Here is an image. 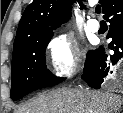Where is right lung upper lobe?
Returning <instances> with one entry per match:
<instances>
[{
  "mask_svg": "<svg viewBox=\"0 0 123 113\" xmlns=\"http://www.w3.org/2000/svg\"><path fill=\"white\" fill-rule=\"evenodd\" d=\"M84 9L82 1L72 0ZM113 0H99L105 14ZM69 0H33L19 22L13 49L26 41L53 34V30L68 21L71 16Z\"/></svg>",
  "mask_w": 123,
  "mask_h": 113,
  "instance_id": "obj_1",
  "label": "right lung upper lobe"
}]
</instances>
